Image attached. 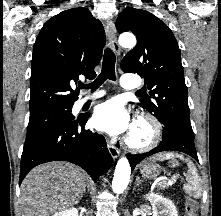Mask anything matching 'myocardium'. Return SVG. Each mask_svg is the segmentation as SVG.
<instances>
[{
  "instance_id": "f54148a6",
  "label": "myocardium",
  "mask_w": 221,
  "mask_h": 216,
  "mask_svg": "<svg viewBox=\"0 0 221 216\" xmlns=\"http://www.w3.org/2000/svg\"><path fill=\"white\" fill-rule=\"evenodd\" d=\"M144 125L148 131V136L143 141H135L130 133L126 139V146L132 151H145L156 146L162 136V126L159 120L147 112H140L135 118L134 125Z\"/></svg>"
}]
</instances>
